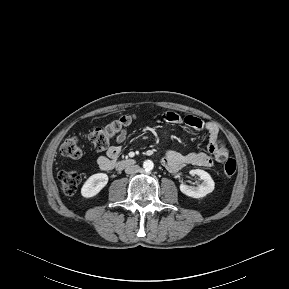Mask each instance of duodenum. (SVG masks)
<instances>
[{
  "label": "duodenum",
  "mask_w": 289,
  "mask_h": 289,
  "mask_svg": "<svg viewBox=\"0 0 289 289\" xmlns=\"http://www.w3.org/2000/svg\"><path fill=\"white\" fill-rule=\"evenodd\" d=\"M133 163H134L133 160H130V159L121 160V161L115 163L114 168H116V169H123V168H125V167H127V166L132 165Z\"/></svg>",
  "instance_id": "1"
}]
</instances>
